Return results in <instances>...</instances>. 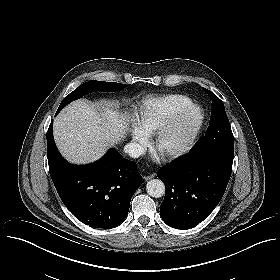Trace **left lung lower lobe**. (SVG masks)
<instances>
[{
  "label": "left lung lower lobe",
  "instance_id": "obj_1",
  "mask_svg": "<svg viewBox=\"0 0 280 280\" xmlns=\"http://www.w3.org/2000/svg\"><path fill=\"white\" fill-rule=\"evenodd\" d=\"M233 156L190 154L162 167L157 176L166 186L160 205L163 221L172 228H191L206 219L220 202L229 182Z\"/></svg>",
  "mask_w": 280,
  "mask_h": 280
}]
</instances>
